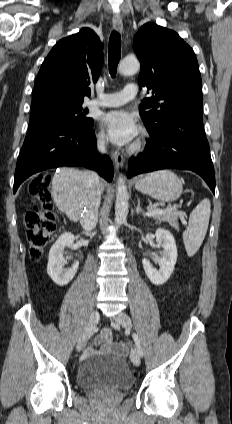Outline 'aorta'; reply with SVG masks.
I'll use <instances>...</instances> for the list:
<instances>
[{"instance_id":"762f6f07","label":"aorta","mask_w":232,"mask_h":424,"mask_svg":"<svg viewBox=\"0 0 232 424\" xmlns=\"http://www.w3.org/2000/svg\"><path fill=\"white\" fill-rule=\"evenodd\" d=\"M140 63L136 58H125L118 66V71L122 75H132L139 71ZM128 192L125 185V179L122 175L118 178V186L115 203V223L120 225L126 221L128 215Z\"/></svg>"}]
</instances>
